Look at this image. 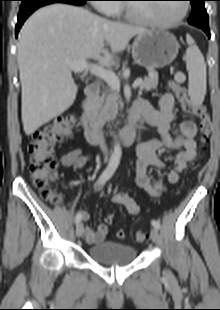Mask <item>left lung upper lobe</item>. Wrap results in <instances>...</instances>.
Instances as JSON below:
<instances>
[{
	"instance_id": "1",
	"label": "left lung upper lobe",
	"mask_w": 220,
	"mask_h": 310,
	"mask_svg": "<svg viewBox=\"0 0 220 310\" xmlns=\"http://www.w3.org/2000/svg\"><path fill=\"white\" fill-rule=\"evenodd\" d=\"M192 4V14L188 20L189 24L198 28H209L208 14L204 7L206 0H189Z\"/></svg>"
}]
</instances>
